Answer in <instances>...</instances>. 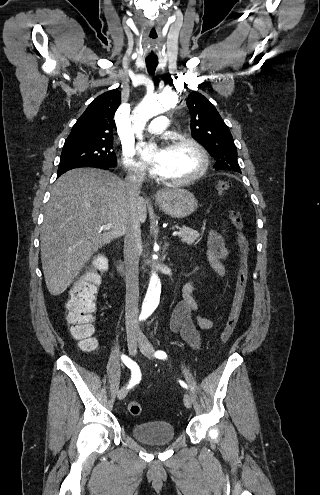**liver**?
Masks as SVG:
<instances>
[{
    "instance_id": "6515ba94",
    "label": "liver",
    "mask_w": 320,
    "mask_h": 495,
    "mask_svg": "<svg viewBox=\"0 0 320 495\" xmlns=\"http://www.w3.org/2000/svg\"><path fill=\"white\" fill-rule=\"evenodd\" d=\"M144 223L147 201H130L124 182L95 168L62 174L45 207L41 261L51 295L62 294L100 247L125 234L131 216ZM110 225L109 229L105 226Z\"/></svg>"
}]
</instances>
